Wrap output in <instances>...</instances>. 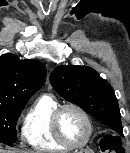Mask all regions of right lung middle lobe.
<instances>
[{"label": "right lung middle lobe", "mask_w": 130, "mask_h": 153, "mask_svg": "<svg viewBox=\"0 0 130 153\" xmlns=\"http://www.w3.org/2000/svg\"><path fill=\"white\" fill-rule=\"evenodd\" d=\"M25 106L0 104V143L12 146L17 139L15 125Z\"/></svg>", "instance_id": "right-lung-middle-lobe-1"}]
</instances>
